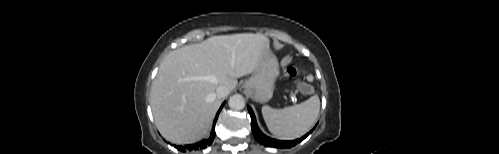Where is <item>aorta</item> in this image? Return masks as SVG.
Returning a JSON list of instances; mask_svg holds the SVG:
<instances>
[{"instance_id":"obj_1","label":"aorta","mask_w":499,"mask_h":154,"mask_svg":"<svg viewBox=\"0 0 499 154\" xmlns=\"http://www.w3.org/2000/svg\"><path fill=\"white\" fill-rule=\"evenodd\" d=\"M229 107L233 110H242L245 107V99L240 94H235L228 101Z\"/></svg>"}]
</instances>
